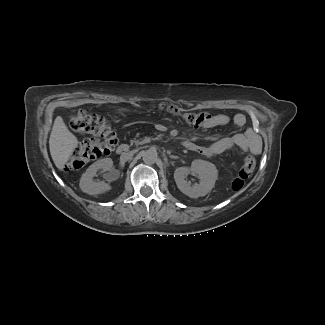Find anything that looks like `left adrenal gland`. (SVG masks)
I'll use <instances>...</instances> for the list:
<instances>
[{
    "label": "left adrenal gland",
    "mask_w": 325,
    "mask_h": 325,
    "mask_svg": "<svg viewBox=\"0 0 325 325\" xmlns=\"http://www.w3.org/2000/svg\"><path fill=\"white\" fill-rule=\"evenodd\" d=\"M169 157L174 158V159L178 158L177 156H174V155H169Z\"/></svg>",
    "instance_id": "left-adrenal-gland-1"
}]
</instances>
